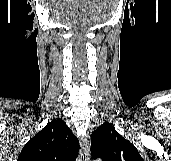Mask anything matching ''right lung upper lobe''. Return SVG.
<instances>
[{
    "mask_svg": "<svg viewBox=\"0 0 171 161\" xmlns=\"http://www.w3.org/2000/svg\"><path fill=\"white\" fill-rule=\"evenodd\" d=\"M79 142L61 119L48 123L30 139L17 161H75Z\"/></svg>",
    "mask_w": 171,
    "mask_h": 161,
    "instance_id": "cb5924a9",
    "label": "right lung upper lobe"
}]
</instances>
